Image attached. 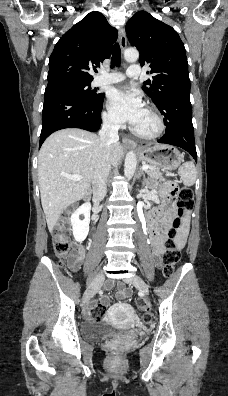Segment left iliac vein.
<instances>
[{
  "label": "left iliac vein",
  "mask_w": 228,
  "mask_h": 396,
  "mask_svg": "<svg viewBox=\"0 0 228 396\" xmlns=\"http://www.w3.org/2000/svg\"><path fill=\"white\" fill-rule=\"evenodd\" d=\"M126 283L132 284L139 288V290L146 296L149 295V287L147 283L138 275H133L125 279Z\"/></svg>",
  "instance_id": "1"
}]
</instances>
